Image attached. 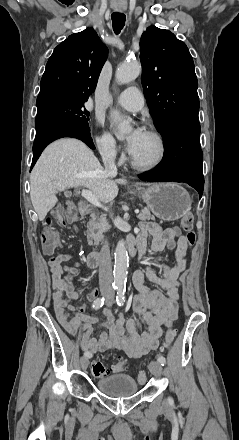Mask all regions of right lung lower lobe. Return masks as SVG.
Here are the masks:
<instances>
[{"mask_svg": "<svg viewBox=\"0 0 239 440\" xmlns=\"http://www.w3.org/2000/svg\"><path fill=\"white\" fill-rule=\"evenodd\" d=\"M35 127L36 137L33 144V160L31 169L41 155L44 148L52 141L59 138H77L86 143L91 149L95 148L90 136V129L72 123L70 121L58 118H48L35 122Z\"/></svg>", "mask_w": 239, "mask_h": 440, "instance_id": "98d812e1", "label": "right lung lower lobe"}]
</instances>
